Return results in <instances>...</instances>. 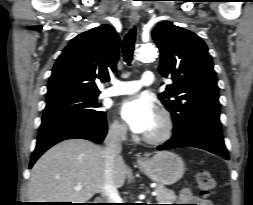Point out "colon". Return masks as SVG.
<instances>
[{
	"instance_id": "1",
	"label": "colon",
	"mask_w": 253,
	"mask_h": 205,
	"mask_svg": "<svg viewBox=\"0 0 253 205\" xmlns=\"http://www.w3.org/2000/svg\"><path fill=\"white\" fill-rule=\"evenodd\" d=\"M197 184L200 193L204 197H208L213 193L216 181L209 170L202 169L197 173Z\"/></svg>"
}]
</instances>
